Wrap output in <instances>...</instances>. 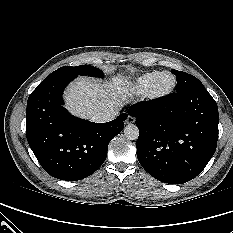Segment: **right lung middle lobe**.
I'll use <instances>...</instances> for the list:
<instances>
[{"mask_svg": "<svg viewBox=\"0 0 233 233\" xmlns=\"http://www.w3.org/2000/svg\"><path fill=\"white\" fill-rule=\"evenodd\" d=\"M79 75H88L92 77H101L103 75L102 71L98 68H95L90 65H80L76 67H61L56 71L49 74L42 83L49 82L55 78L62 77V76H72L77 77Z\"/></svg>", "mask_w": 233, "mask_h": 233, "instance_id": "right-lung-middle-lobe-1", "label": "right lung middle lobe"}]
</instances>
